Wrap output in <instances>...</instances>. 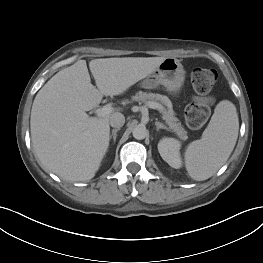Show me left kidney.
<instances>
[{
    "instance_id": "1",
    "label": "left kidney",
    "mask_w": 263,
    "mask_h": 263,
    "mask_svg": "<svg viewBox=\"0 0 263 263\" xmlns=\"http://www.w3.org/2000/svg\"><path fill=\"white\" fill-rule=\"evenodd\" d=\"M180 147V142L174 138H163L158 143V151L162 159L176 169L182 165Z\"/></svg>"
}]
</instances>
